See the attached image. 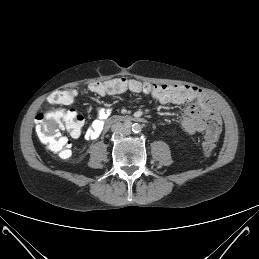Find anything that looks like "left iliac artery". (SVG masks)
Returning <instances> with one entry per match:
<instances>
[{
    "mask_svg": "<svg viewBox=\"0 0 259 259\" xmlns=\"http://www.w3.org/2000/svg\"><path fill=\"white\" fill-rule=\"evenodd\" d=\"M133 132L138 133L142 130V127L139 124H134L132 128Z\"/></svg>",
    "mask_w": 259,
    "mask_h": 259,
    "instance_id": "1",
    "label": "left iliac artery"
}]
</instances>
